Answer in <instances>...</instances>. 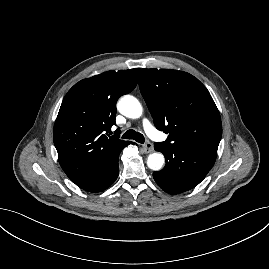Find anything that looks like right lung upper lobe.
<instances>
[{"mask_svg":"<svg viewBox=\"0 0 269 269\" xmlns=\"http://www.w3.org/2000/svg\"><path fill=\"white\" fill-rule=\"evenodd\" d=\"M140 68L107 71L76 83L65 95L53 130L59 163L76 184L130 142L111 136L118 98L132 91Z\"/></svg>","mask_w":269,"mask_h":269,"instance_id":"obj_1","label":"right lung upper lobe"}]
</instances>
